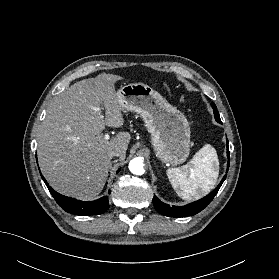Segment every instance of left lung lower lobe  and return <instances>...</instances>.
Segmentation results:
<instances>
[{"instance_id":"1","label":"left lung lower lobe","mask_w":279,"mask_h":279,"mask_svg":"<svg viewBox=\"0 0 279 279\" xmlns=\"http://www.w3.org/2000/svg\"><path fill=\"white\" fill-rule=\"evenodd\" d=\"M227 156H228V165H227V171L229 169V162H230V156H229V148H228V140H227ZM227 174L223 177L220 184L207 196L204 198L190 203L185 206H170L168 204L163 203L160 201L156 196L153 197V204L155 209L161 213L162 215L168 216V217H186V216H193L200 211H202L214 198V196L217 194L219 188L221 187L222 183L224 182Z\"/></svg>"}]
</instances>
